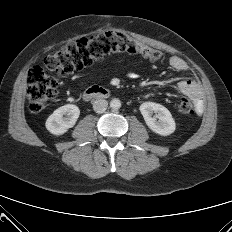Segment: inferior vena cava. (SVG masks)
Listing matches in <instances>:
<instances>
[{
  "mask_svg": "<svg viewBox=\"0 0 232 232\" xmlns=\"http://www.w3.org/2000/svg\"><path fill=\"white\" fill-rule=\"evenodd\" d=\"M108 102L104 99H97L93 102V110L96 113H103L107 109Z\"/></svg>",
  "mask_w": 232,
  "mask_h": 232,
  "instance_id": "602c4592",
  "label": "inferior vena cava"
}]
</instances>
